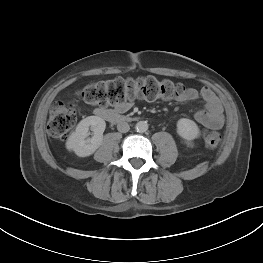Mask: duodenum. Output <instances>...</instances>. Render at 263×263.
Here are the masks:
<instances>
[{
    "instance_id": "obj_1",
    "label": "duodenum",
    "mask_w": 263,
    "mask_h": 263,
    "mask_svg": "<svg viewBox=\"0 0 263 263\" xmlns=\"http://www.w3.org/2000/svg\"><path fill=\"white\" fill-rule=\"evenodd\" d=\"M97 114L101 116L102 118L110 122H113V123H123V122H127L131 120L130 117L121 115L118 112L112 111V110L102 109Z\"/></svg>"
}]
</instances>
